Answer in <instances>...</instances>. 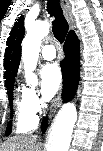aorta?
<instances>
[{
	"label": "aorta",
	"instance_id": "aorta-1",
	"mask_svg": "<svg viewBox=\"0 0 103 151\" xmlns=\"http://www.w3.org/2000/svg\"><path fill=\"white\" fill-rule=\"evenodd\" d=\"M50 25L47 21H36L27 29L22 42V61L27 75L36 68L41 40L48 35ZM77 120V110L73 103L65 104L57 114L50 132L46 151H68L73 128Z\"/></svg>",
	"mask_w": 103,
	"mask_h": 151
}]
</instances>
